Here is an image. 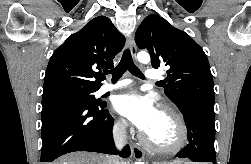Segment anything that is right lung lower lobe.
<instances>
[{
	"label": "right lung lower lobe",
	"instance_id": "1",
	"mask_svg": "<svg viewBox=\"0 0 251 164\" xmlns=\"http://www.w3.org/2000/svg\"><path fill=\"white\" fill-rule=\"evenodd\" d=\"M112 127L113 118L106 103L55 102L43 105L41 162H52L75 151L128 157L129 146H125L122 152L116 150Z\"/></svg>",
	"mask_w": 251,
	"mask_h": 164
}]
</instances>
